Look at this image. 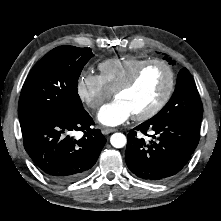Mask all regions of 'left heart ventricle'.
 <instances>
[{
    "label": "left heart ventricle",
    "instance_id": "obj_1",
    "mask_svg": "<svg viewBox=\"0 0 221 221\" xmlns=\"http://www.w3.org/2000/svg\"><path fill=\"white\" fill-rule=\"evenodd\" d=\"M167 83L168 75L165 69L159 65H152L143 72L133 87L119 94L117 99L122 100L130 108L132 115L140 114L158 101Z\"/></svg>",
    "mask_w": 221,
    "mask_h": 221
}]
</instances>
